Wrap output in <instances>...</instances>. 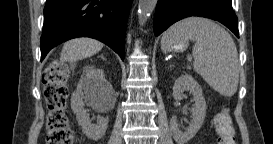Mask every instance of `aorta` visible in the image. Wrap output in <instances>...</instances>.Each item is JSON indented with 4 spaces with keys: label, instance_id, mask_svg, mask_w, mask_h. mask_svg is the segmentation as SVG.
<instances>
[{
    "label": "aorta",
    "instance_id": "762f6f07",
    "mask_svg": "<svg viewBox=\"0 0 273 144\" xmlns=\"http://www.w3.org/2000/svg\"><path fill=\"white\" fill-rule=\"evenodd\" d=\"M157 0H139L138 4V20L140 25H144L153 10L155 9Z\"/></svg>",
    "mask_w": 273,
    "mask_h": 144
}]
</instances>
